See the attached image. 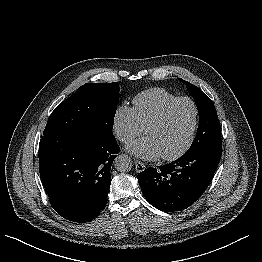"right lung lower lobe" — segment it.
Wrapping results in <instances>:
<instances>
[{
	"label": "right lung lower lobe",
	"mask_w": 262,
	"mask_h": 262,
	"mask_svg": "<svg viewBox=\"0 0 262 262\" xmlns=\"http://www.w3.org/2000/svg\"><path fill=\"white\" fill-rule=\"evenodd\" d=\"M119 151L114 135L42 136L40 177L53 209L74 222L95 218L107 203L110 169Z\"/></svg>",
	"instance_id": "1"
}]
</instances>
